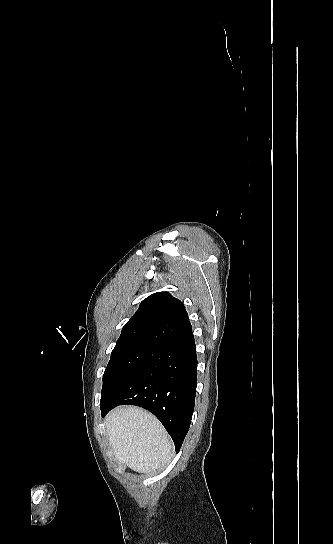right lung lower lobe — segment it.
I'll return each mask as SVG.
<instances>
[{
    "label": "right lung lower lobe",
    "mask_w": 333,
    "mask_h": 544,
    "mask_svg": "<svg viewBox=\"0 0 333 544\" xmlns=\"http://www.w3.org/2000/svg\"><path fill=\"white\" fill-rule=\"evenodd\" d=\"M197 385V355L192 330L152 346L129 380L101 406L102 417L122 404L153 413L179 452L189 430Z\"/></svg>",
    "instance_id": "right-lung-lower-lobe-1"
}]
</instances>
